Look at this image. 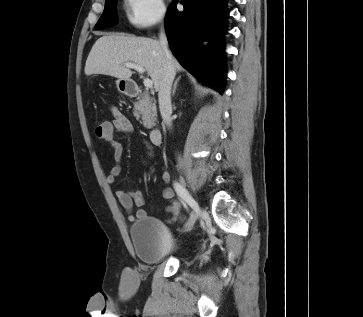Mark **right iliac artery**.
<instances>
[{
	"instance_id": "obj_1",
	"label": "right iliac artery",
	"mask_w": 363,
	"mask_h": 317,
	"mask_svg": "<svg viewBox=\"0 0 363 317\" xmlns=\"http://www.w3.org/2000/svg\"><path fill=\"white\" fill-rule=\"evenodd\" d=\"M174 189L183 201H185L195 211L197 210L196 201L189 195L188 191L180 183L175 182Z\"/></svg>"
}]
</instances>
